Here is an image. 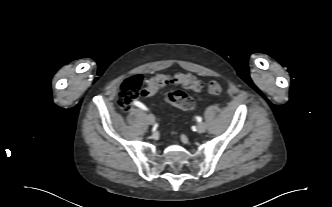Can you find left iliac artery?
<instances>
[{
	"label": "left iliac artery",
	"mask_w": 332,
	"mask_h": 207,
	"mask_svg": "<svg viewBox=\"0 0 332 207\" xmlns=\"http://www.w3.org/2000/svg\"><path fill=\"white\" fill-rule=\"evenodd\" d=\"M196 120H197L198 122H201V121H202V118H201L200 116H198V117L196 118Z\"/></svg>",
	"instance_id": "left-iliac-artery-1"
}]
</instances>
